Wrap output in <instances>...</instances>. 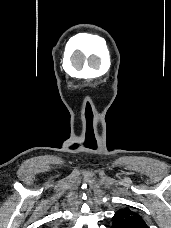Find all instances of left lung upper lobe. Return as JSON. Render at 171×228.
<instances>
[{
	"mask_svg": "<svg viewBox=\"0 0 171 228\" xmlns=\"http://www.w3.org/2000/svg\"><path fill=\"white\" fill-rule=\"evenodd\" d=\"M126 220L145 222L138 213L130 210L129 208H123L118 210L113 217L114 223H120Z\"/></svg>",
	"mask_w": 171,
	"mask_h": 228,
	"instance_id": "left-lung-upper-lobe-1",
	"label": "left lung upper lobe"
}]
</instances>
